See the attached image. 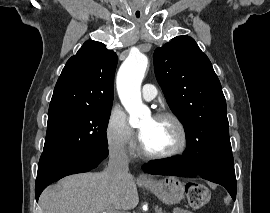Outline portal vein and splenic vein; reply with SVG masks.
<instances>
[{
	"mask_svg": "<svg viewBox=\"0 0 270 213\" xmlns=\"http://www.w3.org/2000/svg\"><path fill=\"white\" fill-rule=\"evenodd\" d=\"M102 213H122V212H119V211H116V212H109V211H104Z\"/></svg>",
	"mask_w": 270,
	"mask_h": 213,
	"instance_id": "1",
	"label": "portal vein and splenic vein"
}]
</instances>
